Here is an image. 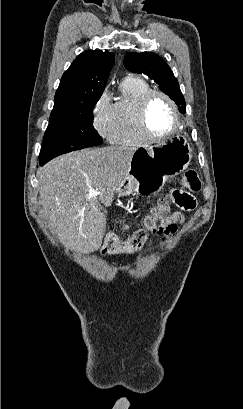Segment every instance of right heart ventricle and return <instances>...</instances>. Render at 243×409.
I'll return each mask as SVG.
<instances>
[{
  "instance_id": "obj_1",
  "label": "right heart ventricle",
  "mask_w": 243,
  "mask_h": 409,
  "mask_svg": "<svg viewBox=\"0 0 243 409\" xmlns=\"http://www.w3.org/2000/svg\"><path fill=\"white\" fill-rule=\"evenodd\" d=\"M151 90L141 78L126 77L120 85V96L112 104L113 123L109 140L119 145H143L148 140L137 124V106L142 96Z\"/></svg>"
}]
</instances>
